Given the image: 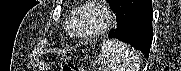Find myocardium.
Segmentation results:
<instances>
[{"instance_id": "obj_1", "label": "myocardium", "mask_w": 181, "mask_h": 71, "mask_svg": "<svg viewBox=\"0 0 181 71\" xmlns=\"http://www.w3.org/2000/svg\"><path fill=\"white\" fill-rule=\"evenodd\" d=\"M87 8H94L101 13L104 18L103 24L93 32L82 33L79 31V19L82 12ZM113 24V14L111 10L101 1H86L82 3L73 14L69 25L70 35L79 39H94L106 33Z\"/></svg>"}]
</instances>
